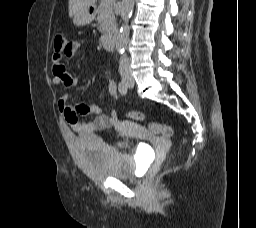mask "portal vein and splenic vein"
Wrapping results in <instances>:
<instances>
[{
	"mask_svg": "<svg viewBox=\"0 0 256 228\" xmlns=\"http://www.w3.org/2000/svg\"><path fill=\"white\" fill-rule=\"evenodd\" d=\"M107 2H110L111 0H106Z\"/></svg>",
	"mask_w": 256,
	"mask_h": 228,
	"instance_id": "18ae733b",
	"label": "portal vein and splenic vein"
}]
</instances>
